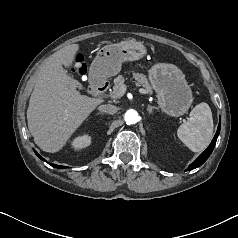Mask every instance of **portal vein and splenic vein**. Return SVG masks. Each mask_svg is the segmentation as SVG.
Instances as JSON below:
<instances>
[{"label": "portal vein and splenic vein", "mask_w": 238, "mask_h": 238, "mask_svg": "<svg viewBox=\"0 0 238 238\" xmlns=\"http://www.w3.org/2000/svg\"><path fill=\"white\" fill-rule=\"evenodd\" d=\"M126 89H127L126 85H123L121 87L120 92H110V96L113 97V98H119V97L124 95V93L126 92ZM138 92L141 93V94H147L146 90L143 89V88H139Z\"/></svg>", "instance_id": "obj_1"}]
</instances>
